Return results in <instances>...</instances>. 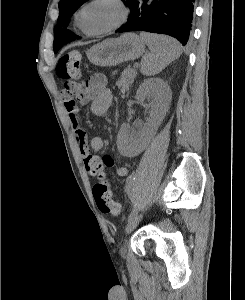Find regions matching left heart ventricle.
I'll use <instances>...</instances> for the list:
<instances>
[{
    "label": "left heart ventricle",
    "mask_w": 245,
    "mask_h": 300,
    "mask_svg": "<svg viewBox=\"0 0 245 300\" xmlns=\"http://www.w3.org/2000/svg\"><path fill=\"white\" fill-rule=\"evenodd\" d=\"M119 16V9L115 5L100 2L89 6L84 11L82 23L87 30L97 31L113 25Z\"/></svg>",
    "instance_id": "1"
}]
</instances>
